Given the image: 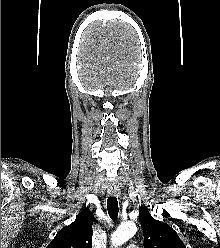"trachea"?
I'll use <instances>...</instances> for the list:
<instances>
[{
    "mask_svg": "<svg viewBox=\"0 0 220 248\" xmlns=\"http://www.w3.org/2000/svg\"><path fill=\"white\" fill-rule=\"evenodd\" d=\"M107 210L110 218L116 220L119 212L118 201L116 197H108Z\"/></svg>",
    "mask_w": 220,
    "mask_h": 248,
    "instance_id": "trachea-1",
    "label": "trachea"
}]
</instances>
